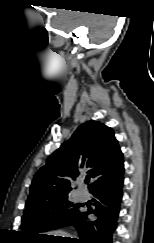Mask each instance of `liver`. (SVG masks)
Segmentation results:
<instances>
[{
	"instance_id": "liver-1",
	"label": "liver",
	"mask_w": 154,
	"mask_h": 243,
	"mask_svg": "<svg viewBox=\"0 0 154 243\" xmlns=\"http://www.w3.org/2000/svg\"><path fill=\"white\" fill-rule=\"evenodd\" d=\"M48 235H53V236H61V237H69V234L60 230L57 231H51L48 233Z\"/></svg>"
}]
</instances>
